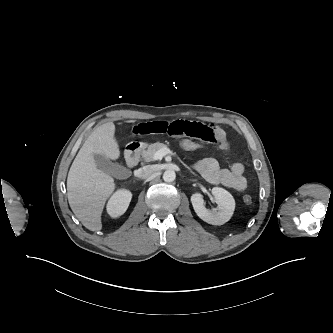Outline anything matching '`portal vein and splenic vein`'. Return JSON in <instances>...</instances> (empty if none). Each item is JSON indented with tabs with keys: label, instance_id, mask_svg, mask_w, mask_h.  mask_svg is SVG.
Listing matches in <instances>:
<instances>
[{
	"label": "portal vein and splenic vein",
	"instance_id": "18ae733b",
	"mask_svg": "<svg viewBox=\"0 0 333 333\" xmlns=\"http://www.w3.org/2000/svg\"><path fill=\"white\" fill-rule=\"evenodd\" d=\"M168 154H172V151L169 148H162V149L155 152V154L153 156V159L154 160H160Z\"/></svg>",
	"mask_w": 333,
	"mask_h": 333
}]
</instances>
